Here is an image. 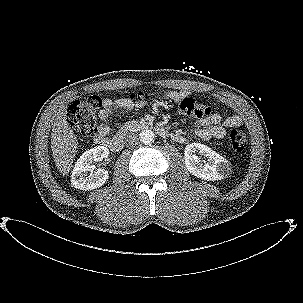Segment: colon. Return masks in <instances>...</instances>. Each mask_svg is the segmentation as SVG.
Returning a JSON list of instances; mask_svg holds the SVG:
<instances>
[{
    "instance_id": "obj_1",
    "label": "colon",
    "mask_w": 303,
    "mask_h": 303,
    "mask_svg": "<svg viewBox=\"0 0 303 303\" xmlns=\"http://www.w3.org/2000/svg\"><path fill=\"white\" fill-rule=\"evenodd\" d=\"M143 93L131 92L123 95V98L128 101L142 100ZM104 101L101 96L93 95L85 101L76 100L72 102L67 109V120L74 127L78 136L83 141H89L96 135L97 114ZM179 109L182 113L195 116L197 118L203 117L205 111L198 106L191 97L184 98L179 104ZM230 142L233 150L240 152L243 150L247 136L241 129H233L230 132Z\"/></svg>"
}]
</instances>
